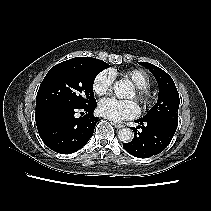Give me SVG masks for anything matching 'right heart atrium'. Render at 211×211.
Here are the masks:
<instances>
[{"instance_id":"obj_1","label":"right heart atrium","mask_w":211,"mask_h":211,"mask_svg":"<svg viewBox=\"0 0 211 211\" xmlns=\"http://www.w3.org/2000/svg\"><path fill=\"white\" fill-rule=\"evenodd\" d=\"M113 82V73L110 70H103L94 78L93 91L98 96H105L111 92Z\"/></svg>"}]
</instances>
